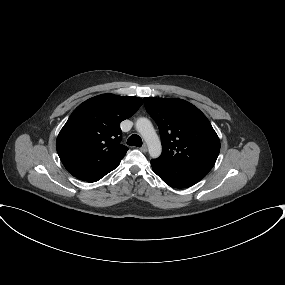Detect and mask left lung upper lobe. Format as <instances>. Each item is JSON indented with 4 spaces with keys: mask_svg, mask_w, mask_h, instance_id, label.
Wrapping results in <instances>:
<instances>
[{
    "mask_svg": "<svg viewBox=\"0 0 285 285\" xmlns=\"http://www.w3.org/2000/svg\"><path fill=\"white\" fill-rule=\"evenodd\" d=\"M147 112L160 130V160L208 174L220 151V141L207 117L181 99L144 98Z\"/></svg>",
    "mask_w": 285,
    "mask_h": 285,
    "instance_id": "obj_1",
    "label": "left lung upper lobe"
}]
</instances>
